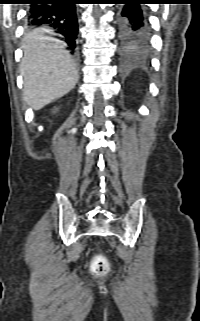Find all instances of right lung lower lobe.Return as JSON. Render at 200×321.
<instances>
[{
	"label": "right lung lower lobe",
	"mask_w": 200,
	"mask_h": 321,
	"mask_svg": "<svg viewBox=\"0 0 200 321\" xmlns=\"http://www.w3.org/2000/svg\"><path fill=\"white\" fill-rule=\"evenodd\" d=\"M77 3L78 0H28L27 25L54 30L74 51L78 33Z\"/></svg>",
	"instance_id": "obj_1"
}]
</instances>
